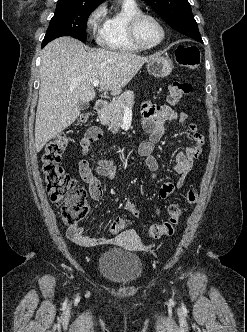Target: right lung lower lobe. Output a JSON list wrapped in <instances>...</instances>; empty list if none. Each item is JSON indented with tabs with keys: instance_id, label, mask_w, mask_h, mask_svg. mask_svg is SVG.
Masks as SVG:
<instances>
[{
	"instance_id": "right-lung-lower-lobe-1",
	"label": "right lung lower lobe",
	"mask_w": 247,
	"mask_h": 332,
	"mask_svg": "<svg viewBox=\"0 0 247 332\" xmlns=\"http://www.w3.org/2000/svg\"><path fill=\"white\" fill-rule=\"evenodd\" d=\"M61 36H64V33H47L42 42V47H44L47 43H49L53 39L61 37Z\"/></svg>"
}]
</instances>
